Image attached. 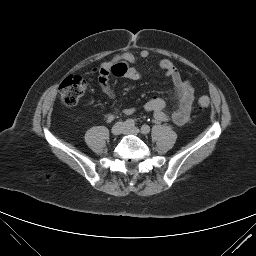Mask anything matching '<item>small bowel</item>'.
Listing matches in <instances>:
<instances>
[{
    "instance_id": "1",
    "label": "small bowel",
    "mask_w": 256,
    "mask_h": 256,
    "mask_svg": "<svg viewBox=\"0 0 256 256\" xmlns=\"http://www.w3.org/2000/svg\"><path fill=\"white\" fill-rule=\"evenodd\" d=\"M148 56L149 52L142 50L137 55L127 52L103 62L99 67V83L103 91L109 97H115V92L109 84L111 76L125 77L134 81L140 80L142 78L141 73L132 65L138 60L147 59ZM159 67L173 83L176 108L171 114H168L165 111V101L154 96L144 103V109L151 113L157 122H171L177 126L185 125L191 120L193 112L194 88L190 81L183 78L171 61L163 59L159 62ZM123 112L126 115H131L135 112V109L126 108Z\"/></svg>"
}]
</instances>
